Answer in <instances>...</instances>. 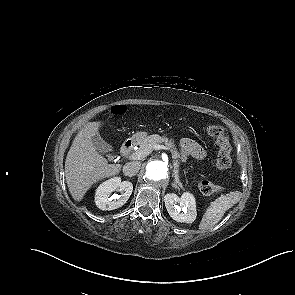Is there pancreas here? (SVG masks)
Listing matches in <instances>:
<instances>
[{
  "mask_svg": "<svg viewBox=\"0 0 295 295\" xmlns=\"http://www.w3.org/2000/svg\"><path fill=\"white\" fill-rule=\"evenodd\" d=\"M157 144H165L172 152L174 177L179 187L183 188L182 183L179 181L180 154L173 139H168L167 137H161L159 135L148 136L143 142L139 143L140 147L136 152L146 156L153 150V146Z\"/></svg>",
  "mask_w": 295,
  "mask_h": 295,
  "instance_id": "obj_1",
  "label": "pancreas"
}]
</instances>
